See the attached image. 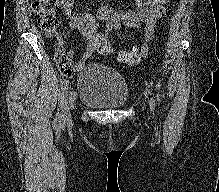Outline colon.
I'll list each match as a JSON object with an SVG mask.
<instances>
[{
	"instance_id": "1",
	"label": "colon",
	"mask_w": 219,
	"mask_h": 192,
	"mask_svg": "<svg viewBox=\"0 0 219 192\" xmlns=\"http://www.w3.org/2000/svg\"><path fill=\"white\" fill-rule=\"evenodd\" d=\"M32 9L42 31L49 37L58 38L61 21L56 8L50 5V0H36ZM96 51L104 56H110L115 53L111 43L104 38L96 42ZM117 58L120 62L132 66L140 63L142 55L134 49L122 50L117 53ZM56 62L63 75L66 77L74 75V65L60 50L56 53Z\"/></svg>"
}]
</instances>
